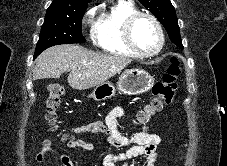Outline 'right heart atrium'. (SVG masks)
<instances>
[{
  "label": "right heart atrium",
  "mask_w": 227,
  "mask_h": 166,
  "mask_svg": "<svg viewBox=\"0 0 227 166\" xmlns=\"http://www.w3.org/2000/svg\"><path fill=\"white\" fill-rule=\"evenodd\" d=\"M96 9L92 8L87 12V18L90 19L95 15Z\"/></svg>",
  "instance_id": "d8ad5b80"
}]
</instances>
